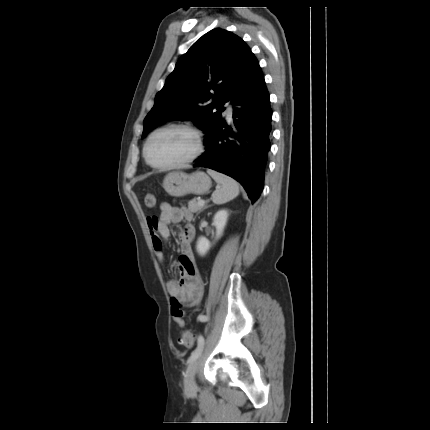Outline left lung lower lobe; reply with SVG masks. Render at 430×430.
I'll return each instance as SVG.
<instances>
[{
	"mask_svg": "<svg viewBox=\"0 0 430 430\" xmlns=\"http://www.w3.org/2000/svg\"><path fill=\"white\" fill-rule=\"evenodd\" d=\"M246 91L234 97L233 120L222 116L212 123L204 139L206 152L194 162L236 179L252 203L263 189L264 173L271 147L272 110L264 76L259 67Z\"/></svg>",
	"mask_w": 430,
	"mask_h": 430,
	"instance_id": "left-lung-lower-lobe-1",
	"label": "left lung lower lobe"
}]
</instances>
